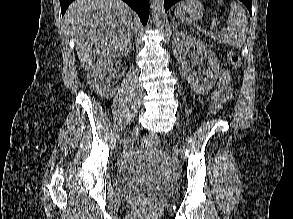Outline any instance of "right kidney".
<instances>
[{
  "instance_id": "right-kidney-1",
  "label": "right kidney",
  "mask_w": 293,
  "mask_h": 219,
  "mask_svg": "<svg viewBox=\"0 0 293 219\" xmlns=\"http://www.w3.org/2000/svg\"><path fill=\"white\" fill-rule=\"evenodd\" d=\"M115 62L116 60L111 57L100 58L89 68L87 73L88 83L94 92L106 99L112 98L117 90L115 77L113 76L114 80L112 82H110L109 78H105L107 73L111 72Z\"/></svg>"
}]
</instances>
